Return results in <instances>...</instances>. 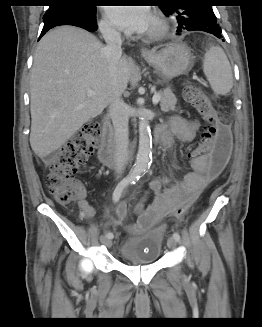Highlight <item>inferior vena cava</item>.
<instances>
[{
  "label": "inferior vena cava",
  "mask_w": 262,
  "mask_h": 327,
  "mask_svg": "<svg viewBox=\"0 0 262 327\" xmlns=\"http://www.w3.org/2000/svg\"><path fill=\"white\" fill-rule=\"evenodd\" d=\"M101 33L106 42L105 54L108 60V68L110 76L114 77L117 69V64L122 55V39L121 34L110 27L109 25L101 26ZM109 115L114 126V162L115 171L118 175L124 170L128 159L129 146V130H128V113L126 104L121 99V95L116 89V84L113 82L112 97L109 105Z\"/></svg>",
  "instance_id": "1"
}]
</instances>
